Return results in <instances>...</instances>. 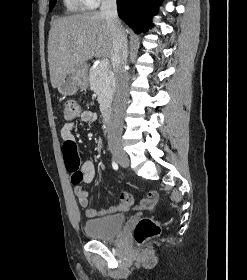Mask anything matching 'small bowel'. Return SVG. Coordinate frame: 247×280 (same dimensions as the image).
<instances>
[{
	"instance_id": "small-bowel-1",
	"label": "small bowel",
	"mask_w": 247,
	"mask_h": 280,
	"mask_svg": "<svg viewBox=\"0 0 247 280\" xmlns=\"http://www.w3.org/2000/svg\"><path fill=\"white\" fill-rule=\"evenodd\" d=\"M80 119L85 123H93L97 120V115L95 112L87 110L80 113ZM75 121L68 119L61 129V137L64 143H76L74 136ZM81 171L83 173V183H90L95 176V166L92 162H84L81 166ZM75 196L78 200L79 205L85 209V215L88 218L102 217L106 215H112L119 212L127 211L133 206L132 197L126 193H120V201L115 205L110 206L107 209H93L89 208L88 192L83 187L81 191H75ZM158 199V194L156 191H149L145 198L137 205L139 209H147L152 207Z\"/></svg>"
}]
</instances>
